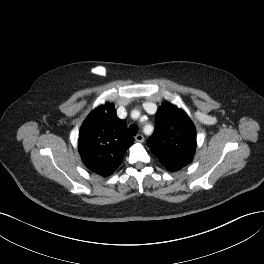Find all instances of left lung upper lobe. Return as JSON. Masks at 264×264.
<instances>
[{
	"label": "left lung upper lobe",
	"instance_id": "1",
	"mask_svg": "<svg viewBox=\"0 0 264 264\" xmlns=\"http://www.w3.org/2000/svg\"><path fill=\"white\" fill-rule=\"evenodd\" d=\"M149 148L162 165L177 171L192 162L196 149V130L187 114L171 103L156 113V127L148 139Z\"/></svg>",
	"mask_w": 264,
	"mask_h": 264
}]
</instances>
